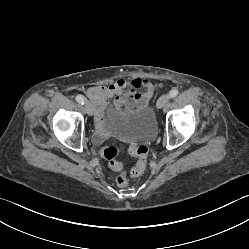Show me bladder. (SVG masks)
<instances>
[{
  "label": "bladder",
  "mask_w": 249,
  "mask_h": 249,
  "mask_svg": "<svg viewBox=\"0 0 249 249\" xmlns=\"http://www.w3.org/2000/svg\"><path fill=\"white\" fill-rule=\"evenodd\" d=\"M102 123L109 133L125 140L150 141L156 134L155 117L148 105L126 112L110 103Z\"/></svg>",
  "instance_id": "bladder-1"
}]
</instances>
